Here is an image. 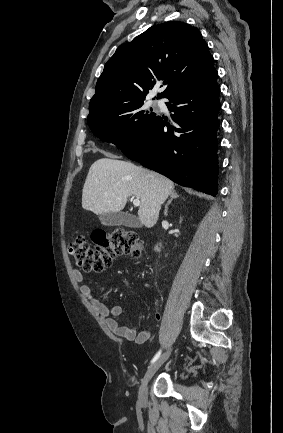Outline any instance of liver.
<instances>
[{
    "label": "liver",
    "mask_w": 283,
    "mask_h": 433,
    "mask_svg": "<svg viewBox=\"0 0 283 433\" xmlns=\"http://www.w3.org/2000/svg\"><path fill=\"white\" fill-rule=\"evenodd\" d=\"M174 182L152 170L126 160L99 158L91 164L82 190V206L95 214L120 212L128 196H138L139 221L147 229L158 221L161 204L168 198Z\"/></svg>",
    "instance_id": "liver-1"
}]
</instances>
